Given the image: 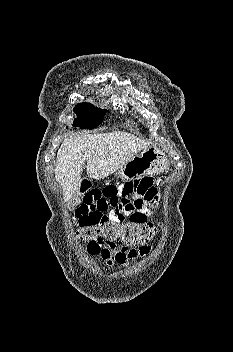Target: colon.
<instances>
[{"label": "colon", "instance_id": "colon-1", "mask_svg": "<svg viewBox=\"0 0 233 352\" xmlns=\"http://www.w3.org/2000/svg\"><path fill=\"white\" fill-rule=\"evenodd\" d=\"M158 228L159 226L152 222L120 224L109 220L105 222L93 220L79 225L77 237L88 244L120 240L129 246L148 242L157 233Z\"/></svg>", "mask_w": 233, "mask_h": 352}]
</instances>
